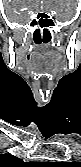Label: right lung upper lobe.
<instances>
[{"mask_svg": "<svg viewBox=\"0 0 81 167\" xmlns=\"http://www.w3.org/2000/svg\"><path fill=\"white\" fill-rule=\"evenodd\" d=\"M0 160L2 167H35L37 165L31 162H23L20 158L10 154H1Z\"/></svg>", "mask_w": 81, "mask_h": 167, "instance_id": "1", "label": "right lung upper lobe"}]
</instances>
